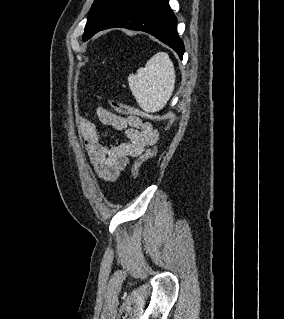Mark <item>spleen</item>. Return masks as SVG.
<instances>
[{
	"mask_svg": "<svg viewBox=\"0 0 284 319\" xmlns=\"http://www.w3.org/2000/svg\"><path fill=\"white\" fill-rule=\"evenodd\" d=\"M174 65L165 52L151 57L145 67L128 77L129 87L140 107L150 113L162 109L170 99L175 85Z\"/></svg>",
	"mask_w": 284,
	"mask_h": 319,
	"instance_id": "spleen-1",
	"label": "spleen"
}]
</instances>
